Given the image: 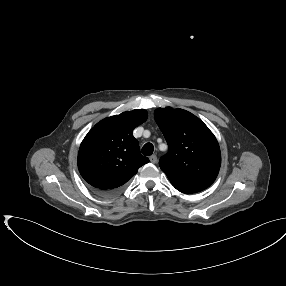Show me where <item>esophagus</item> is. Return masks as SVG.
<instances>
[{"instance_id":"1","label":"esophagus","mask_w":286,"mask_h":286,"mask_svg":"<svg viewBox=\"0 0 286 286\" xmlns=\"http://www.w3.org/2000/svg\"><path fill=\"white\" fill-rule=\"evenodd\" d=\"M150 162H152V163H156L157 162V156L156 155H152V156H150Z\"/></svg>"}]
</instances>
